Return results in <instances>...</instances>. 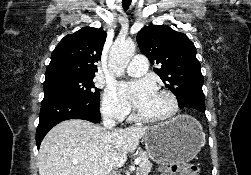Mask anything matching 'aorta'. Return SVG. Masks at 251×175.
<instances>
[{"label": "aorta", "mask_w": 251, "mask_h": 175, "mask_svg": "<svg viewBox=\"0 0 251 175\" xmlns=\"http://www.w3.org/2000/svg\"><path fill=\"white\" fill-rule=\"evenodd\" d=\"M135 50L136 44L134 42H118V44H113L108 58L110 72L116 74L117 78L124 76L125 68H127L131 58H133Z\"/></svg>", "instance_id": "aorta-1"}]
</instances>
